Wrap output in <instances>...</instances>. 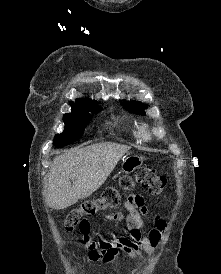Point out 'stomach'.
<instances>
[{"instance_id":"obj_1","label":"stomach","mask_w":221,"mask_h":274,"mask_svg":"<svg viewBox=\"0 0 221 274\" xmlns=\"http://www.w3.org/2000/svg\"><path fill=\"white\" fill-rule=\"evenodd\" d=\"M142 165V158L136 155L126 156L121 163V170L126 174L132 173Z\"/></svg>"}]
</instances>
